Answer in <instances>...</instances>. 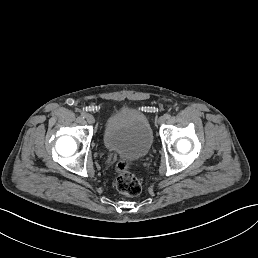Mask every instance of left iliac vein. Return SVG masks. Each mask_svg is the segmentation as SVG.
<instances>
[{
  "label": "left iliac vein",
  "instance_id": "4c4485c4",
  "mask_svg": "<svg viewBox=\"0 0 258 258\" xmlns=\"http://www.w3.org/2000/svg\"><path fill=\"white\" fill-rule=\"evenodd\" d=\"M158 121H159L158 122V127H159V123L160 122H165L166 123L167 120H166V118L164 116H161Z\"/></svg>",
  "mask_w": 258,
  "mask_h": 258
}]
</instances>
